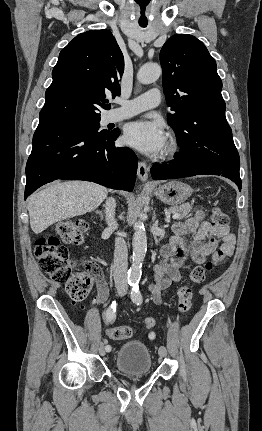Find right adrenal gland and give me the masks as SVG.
<instances>
[{
  "instance_id": "right-adrenal-gland-1",
  "label": "right adrenal gland",
  "mask_w": 262,
  "mask_h": 431,
  "mask_svg": "<svg viewBox=\"0 0 262 431\" xmlns=\"http://www.w3.org/2000/svg\"><path fill=\"white\" fill-rule=\"evenodd\" d=\"M96 213L100 216V218H101V220H103L104 219V214H103V212L102 211H96Z\"/></svg>"
}]
</instances>
